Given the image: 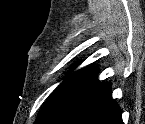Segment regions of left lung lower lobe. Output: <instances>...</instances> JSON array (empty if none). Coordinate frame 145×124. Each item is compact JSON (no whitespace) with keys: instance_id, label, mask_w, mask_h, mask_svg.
<instances>
[{"instance_id":"left-lung-lower-lobe-1","label":"left lung lower lobe","mask_w":145,"mask_h":124,"mask_svg":"<svg viewBox=\"0 0 145 124\" xmlns=\"http://www.w3.org/2000/svg\"><path fill=\"white\" fill-rule=\"evenodd\" d=\"M45 124H123L120 107L111 100V86L93 77Z\"/></svg>"}]
</instances>
